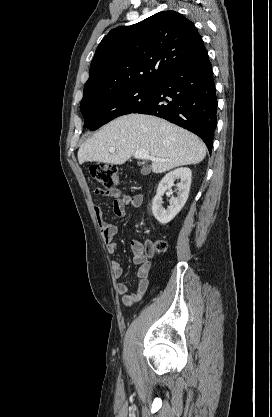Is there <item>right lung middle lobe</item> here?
Listing matches in <instances>:
<instances>
[{"instance_id":"1","label":"right lung middle lobe","mask_w":272,"mask_h":417,"mask_svg":"<svg viewBox=\"0 0 272 417\" xmlns=\"http://www.w3.org/2000/svg\"><path fill=\"white\" fill-rule=\"evenodd\" d=\"M155 83L121 89L99 97H85L81 101L84 127L96 130L112 119L132 113L154 94Z\"/></svg>"}]
</instances>
